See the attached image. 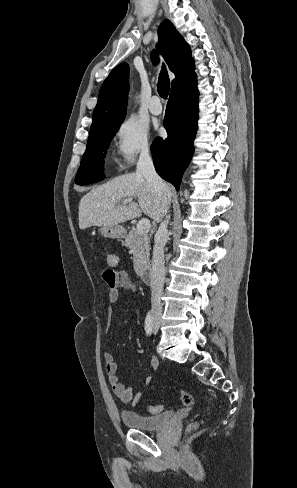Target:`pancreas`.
<instances>
[{
    "label": "pancreas",
    "instance_id": "pancreas-1",
    "mask_svg": "<svg viewBox=\"0 0 297 488\" xmlns=\"http://www.w3.org/2000/svg\"><path fill=\"white\" fill-rule=\"evenodd\" d=\"M125 245L133 253L134 270L138 273L147 268L150 262V238L133 228L125 238Z\"/></svg>",
    "mask_w": 297,
    "mask_h": 488
}]
</instances>
